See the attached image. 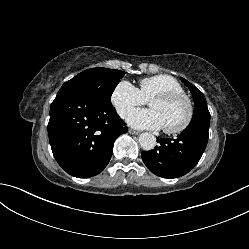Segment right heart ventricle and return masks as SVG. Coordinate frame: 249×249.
Wrapping results in <instances>:
<instances>
[{
	"label": "right heart ventricle",
	"instance_id": "obj_1",
	"mask_svg": "<svg viewBox=\"0 0 249 249\" xmlns=\"http://www.w3.org/2000/svg\"><path fill=\"white\" fill-rule=\"evenodd\" d=\"M138 90L143 99L148 101L162 93L183 92V87L174 77L159 74L141 79Z\"/></svg>",
	"mask_w": 249,
	"mask_h": 249
}]
</instances>
